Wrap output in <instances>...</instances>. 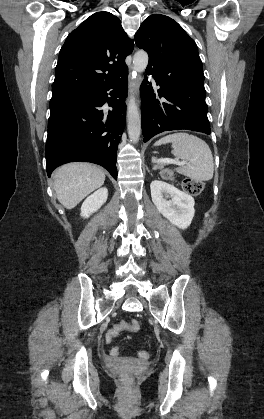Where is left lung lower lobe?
Masks as SVG:
<instances>
[{"instance_id": "left-lung-lower-lobe-1", "label": "left lung lower lobe", "mask_w": 264, "mask_h": 419, "mask_svg": "<svg viewBox=\"0 0 264 419\" xmlns=\"http://www.w3.org/2000/svg\"><path fill=\"white\" fill-rule=\"evenodd\" d=\"M152 75L159 86L154 90L145 76L140 87L143 142L169 130H191L210 134L204 84L188 88L182 81L166 82Z\"/></svg>"}]
</instances>
